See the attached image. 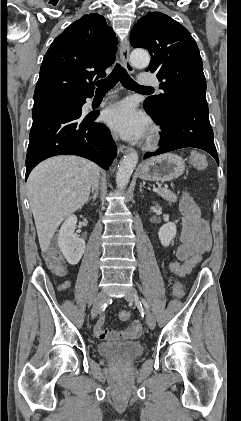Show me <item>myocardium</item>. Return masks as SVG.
<instances>
[{"mask_svg": "<svg viewBox=\"0 0 241 421\" xmlns=\"http://www.w3.org/2000/svg\"><path fill=\"white\" fill-rule=\"evenodd\" d=\"M160 139V130L158 127H152L146 142L147 148H153L157 145Z\"/></svg>", "mask_w": 241, "mask_h": 421, "instance_id": "obj_1", "label": "myocardium"}]
</instances>
